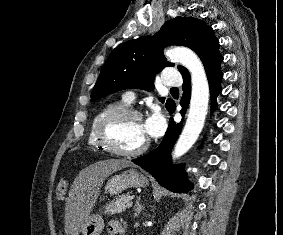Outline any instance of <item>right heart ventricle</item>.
<instances>
[{
	"label": "right heart ventricle",
	"instance_id": "obj_1",
	"mask_svg": "<svg viewBox=\"0 0 283 235\" xmlns=\"http://www.w3.org/2000/svg\"><path fill=\"white\" fill-rule=\"evenodd\" d=\"M127 103L125 100L122 101H110L105 103L104 105H102L97 111L96 113L93 115L90 125H89V129H88V134H87V144L90 148L93 149H101L102 146L99 144L97 137H96V129L97 126L99 124V122L101 121V119L107 115L108 113L119 109V108H123L126 107Z\"/></svg>",
	"mask_w": 283,
	"mask_h": 235
}]
</instances>
